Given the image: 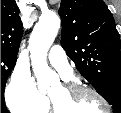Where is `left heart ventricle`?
Wrapping results in <instances>:
<instances>
[{
    "label": "left heart ventricle",
    "instance_id": "obj_1",
    "mask_svg": "<svg viewBox=\"0 0 121 113\" xmlns=\"http://www.w3.org/2000/svg\"><path fill=\"white\" fill-rule=\"evenodd\" d=\"M49 96L52 97L59 105L61 112L80 111L91 113H104L105 107L102 102L91 93H83L80 96L73 98V105L69 104L70 95L62 88L61 85L54 88Z\"/></svg>",
    "mask_w": 121,
    "mask_h": 113
}]
</instances>
